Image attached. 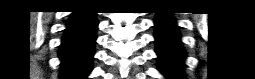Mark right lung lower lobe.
<instances>
[{
	"label": "right lung lower lobe",
	"instance_id": "1",
	"mask_svg": "<svg viewBox=\"0 0 255 79\" xmlns=\"http://www.w3.org/2000/svg\"><path fill=\"white\" fill-rule=\"evenodd\" d=\"M98 22L91 11H76L67 23L60 46L62 79H86L92 70Z\"/></svg>",
	"mask_w": 255,
	"mask_h": 79
}]
</instances>
